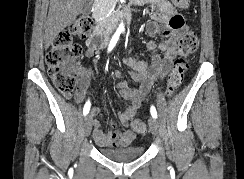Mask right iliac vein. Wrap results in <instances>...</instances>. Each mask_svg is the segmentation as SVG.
I'll return each instance as SVG.
<instances>
[{
    "instance_id": "right-iliac-vein-1",
    "label": "right iliac vein",
    "mask_w": 244,
    "mask_h": 179,
    "mask_svg": "<svg viewBox=\"0 0 244 179\" xmlns=\"http://www.w3.org/2000/svg\"><path fill=\"white\" fill-rule=\"evenodd\" d=\"M93 116L92 113L87 114L83 119V129L86 135H89L92 131Z\"/></svg>"
}]
</instances>
